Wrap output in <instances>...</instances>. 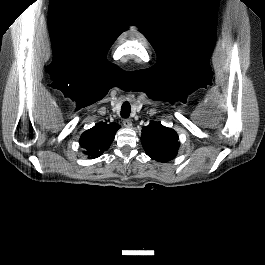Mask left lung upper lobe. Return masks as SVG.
I'll return each instance as SVG.
<instances>
[{
	"instance_id": "left-lung-upper-lobe-1",
	"label": "left lung upper lobe",
	"mask_w": 265,
	"mask_h": 265,
	"mask_svg": "<svg viewBox=\"0 0 265 265\" xmlns=\"http://www.w3.org/2000/svg\"><path fill=\"white\" fill-rule=\"evenodd\" d=\"M141 139L146 154L158 162L174 159L180 146L177 133L159 122L144 127Z\"/></svg>"
}]
</instances>
